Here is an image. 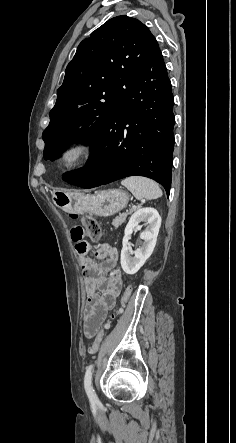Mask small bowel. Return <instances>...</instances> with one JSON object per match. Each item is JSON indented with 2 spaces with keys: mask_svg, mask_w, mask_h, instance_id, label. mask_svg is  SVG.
Returning a JSON list of instances; mask_svg holds the SVG:
<instances>
[{
  "mask_svg": "<svg viewBox=\"0 0 236 443\" xmlns=\"http://www.w3.org/2000/svg\"><path fill=\"white\" fill-rule=\"evenodd\" d=\"M86 244V252L82 253L77 248V253L81 257V266L85 274V292L87 303L84 313V333L90 338L100 329L107 313L116 302V297L123 287V274L117 267L119 261V251L116 247L103 243L94 246ZM89 251H94L96 257L101 260L96 263L85 255ZM108 272L109 276L103 274Z\"/></svg>",
  "mask_w": 236,
  "mask_h": 443,
  "instance_id": "1",
  "label": "small bowel"
}]
</instances>
